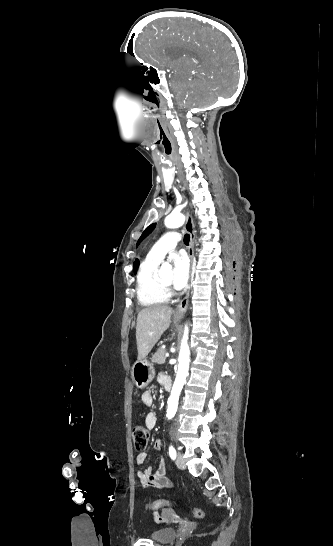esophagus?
Returning a JSON list of instances; mask_svg holds the SVG:
<instances>
[{
    "instance_id": "1",
    "label": "esophagus",
    "mask_w": 333,
    "mask_h": 546,
    "mask_svg": "<svg viewBox=\"0 0 333 546\" xmlns=\"http://www.w3.org/2000/svg\"><path fill=\"white\" fill-rule=\"evenodd\" d=\"M185 229L188 231V233L190 235V245H189L188 254H189V257H190V260H191V265H192V263L194 261L195 232H194V226H193L192 218H191V215H190V213L188 211L186 212ZM188 298H189V290L187 291L186 296L176 306V308L174 310V315L175 316H182L185 313V311L187 309V306H188Z\"/></svg>"
}]
</instances>
